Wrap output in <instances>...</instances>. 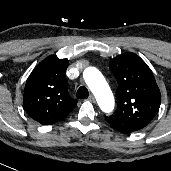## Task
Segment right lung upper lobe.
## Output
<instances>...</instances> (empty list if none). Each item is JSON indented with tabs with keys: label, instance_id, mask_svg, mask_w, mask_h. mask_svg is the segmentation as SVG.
I'll return each instance as SVG.
<instances>
[{
	"label": "right lung upper lobe",
	"instance_id": "right-lung-upper-lobe-1",
	"mask_svg": "<svg viewBox=\"0 0 171 171\" xmlns=\"http://www.w3.org/2000/svg\"><path fill=\"white\" fill-rule=\"evenodd\" d=\"M67 59L49 56L28 77L23 105L28 115L42 125H52L65 118L77 100L68 93Z\"/></svg>",
	"mask_w": 171,
	"mask_h": 171
}]
</instances>
